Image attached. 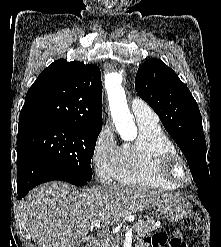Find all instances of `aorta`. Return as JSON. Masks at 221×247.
I'll use <instances>...</instances> for the list:
<instances>
[{"instance_id": "762f6f07", "label": "aorta", "mask_w": 221, "mask_h": 247, "mask_svg": "<svg viewBox=\"0 0 221 247\" xmlns=\"http://www.w3.org/2000/svg\"><path fill=\"white\" fill-rule=\"evenodd\" d=\"M105 89L107 91L109 107L117 130L122 136L130 133L135 136L137 128L133 116L129 112L126 94L122 87V73L112 72L105 77Z\"/></svg>"}]
</instances>
